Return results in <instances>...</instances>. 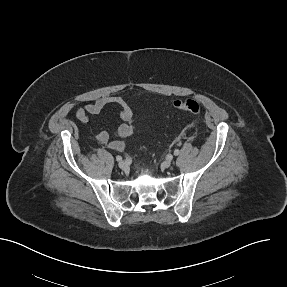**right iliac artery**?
I'll list each match as a JSON object with an SVG mask.
<instances>
[{"label": "right iliac artery", "mask_w": 287, "mask_h": 287, "mask_svg": "<svg viewBox=\"0 0 287 287\" xmlns=\"http://www.w3.org/2000/svg\"><path fill=\"white\" fill-rule=\"evenodd\" d=\"M116 160L118 161V162H120L121 160H122V157L121 156H116Z\"/></svg>", "instance_id": "1"}]
</instances>
